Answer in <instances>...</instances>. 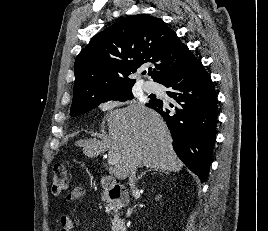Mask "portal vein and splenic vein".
<instances>
[{"instance_id":"obj_1","label":"portal vein and splenic vein","mask_w":268,"mask_h":231,"mask_svg":"<svg viewBox=\"0 0 268 231\" xmlns=\"http://www.w3.org/2000/svg\"><path fill=\"white\" fill-rule=\"evenodd\" d=\"M118 161H119V158H118V156L116 154H114V153H109L108 154V164L110 166H113V165L117 164Z\"/></svg>"}]
</instances>
